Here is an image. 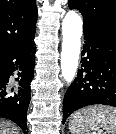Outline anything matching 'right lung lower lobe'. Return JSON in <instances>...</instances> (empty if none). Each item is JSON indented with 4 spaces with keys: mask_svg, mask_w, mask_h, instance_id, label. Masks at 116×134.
<instances>
[{
    "mask_svg": "<svg viewBox=\"0 0 116 134\" xmlns=\"http://www.w3.org/2000/svg\"><path fill=\"white\" fill-rule=\"evenodd\" d=\"M34 36L27 42L0 56V117L20 126L26 134V114L31 99L30 83L34 74ZM18 71L17 83L10 76Z\"/></svg>",
    "mask_w": 116,
    "mask_h": 134,
    "instance_id": "right-lung-lower-lobe-1",
    "label": "right lung lower lobe"
}]
</instances>
